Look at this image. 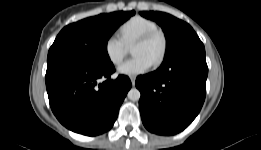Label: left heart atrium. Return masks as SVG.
Masks as SVG:
<instances>
[{"mask_svg":"<svg viewBox=\"0 0 261 150\" xmlns=\"http://www.w3.org/2000/svg\"><path fill=\"white\" fill-rule=\"evenodd\" d=\"M153 63L144 55H137L125 61L118 67V72L122 75L137 76L147 72Z\"/></svg>","mask_w":261,"mask_h":150,"instance_id":"left-heart-atrium-1","label":"left heart atrium"}]
</instances>
